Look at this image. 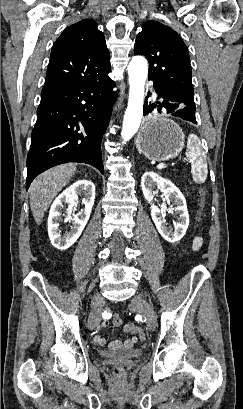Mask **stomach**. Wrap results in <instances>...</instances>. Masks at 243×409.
<instances>
[{
  "label": "stomach",
  "instance_id": "obj_1",
  "mask_svg": "<svg viewBox=\"0 0 243 409\" xmlns=\"http://www.w3.org/2000/svg\"><path fill=\"white\" fill-rule=\"evenodd\" d=\"M184 141V132L175 121L165 116H154L143 124L135 143L138 151L148 159L165 161L182 151Z\"/></svg>",
  "mask_w": 243,
  "mask_h": 409
}]
</instances>
